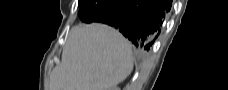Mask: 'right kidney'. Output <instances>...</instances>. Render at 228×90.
I'll return each instance as SVG.
<instances>
[{
	"label": "right kidney",
	"mask_w": 228,
	"mask_h": 90,
	"mask_svg": "<svg viewBox=\"0 0 228 90\" xmlns=\"http://www.w3.org/2000/svg\"><path fill=\"white\" fill-rule=\"evenodd\" d=\"M110 90H120V88H118L117 86H115L114 88H111Z\"/></svg>",
	"instance_id": "right-kidney-1"
}]
</instances>
